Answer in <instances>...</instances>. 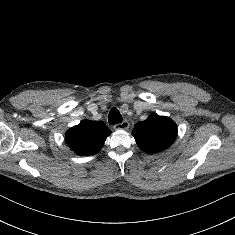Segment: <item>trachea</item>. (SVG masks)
I'll list each match as a JSON object with an SVG mask.
<instances>
[{"label":"trachea","mask_w":235,"mask_h":235,"mask_svg":"<svg viewBox=\"0 0 235 235\" xmlns=\"http://www.w3.org/2000/svg\"><path fill=\"white\" fill-rule=\"evenodd\" d=\"M109 124H118L122 123V116L117 108H112L108 115Z\"/></svg>","instance_id":"trachea-1"}]
</instances>
